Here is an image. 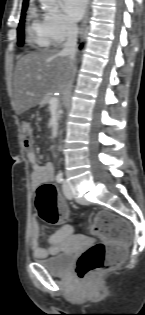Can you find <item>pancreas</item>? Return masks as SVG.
Here are the masks:
<instances>
[{
	"instance_id": "1",
	"label": "pancreas",
	"mask_w": 145,
	"mask_h": 315,
	"mask_svg": "<svg viewBox=\"0 0 145 315\" xmlns=\"http://www.w3.org/2000/svg\"><path fill=\"white\" fill-rule=\"evenodd\" d=\"M51 97L49 95H47L43 100H42V103L43 104H48L49 101H50Z\"/></svg>"
}]
</instances>
